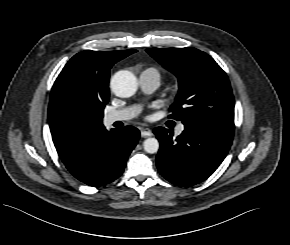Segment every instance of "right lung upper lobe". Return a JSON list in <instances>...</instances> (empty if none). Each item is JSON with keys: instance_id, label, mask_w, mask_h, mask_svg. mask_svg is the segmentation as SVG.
Masks as SVG:
<instances>
[{"instance_id": "obj_1", "label": "right lung upper lobe", "mask_w": 290, "mask_h": 245, "mask_svg": "<svg viewBox=\"0 0 290 245\" xmlns=\"http://www.w3.org/2000/svg\"><path fill=\"white\" fill-rule=\"evenodd\" d=\"M135 52L86 50L64 66L54 82L48 109L52 139L61 159L76 154L105 128L99 106L108 102L110 68Z\"/></svg>"}]
</instances>
